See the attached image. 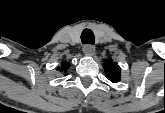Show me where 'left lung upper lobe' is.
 <instances>
[{
    "mask_svg": "<svg viewBox=\"0 0 165 113\" xmlns=\"http://www.w3.org/2000/svg\"><path fill=\"white\" fill-rule=\"evenodd\" d=\"M105 72L108 74V79L112 82H118L120 78V67L117 63H108L104 65Z\"/></svg>",
    "mask_w": 165,
    "mask_h": 113,
    "instance_id": "1",
    "label": "left lung upper lobe"
}]
</instances>
